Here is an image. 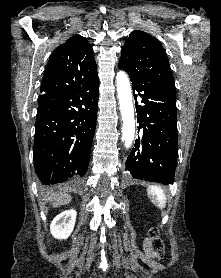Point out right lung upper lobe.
Masks as SVG:
<instances>
[{"label": "right lung upper lobe", "mask_w": 221, "mask_h": 278, "mask_svg": "<svg viewBox=\"0 0 221 278\" xmlns=\"http://www.w3.org/2000/svg\"><path fill=\"white\" fill-rule=\"evenodd\" d=\"M93 49L86 38L74 35L51 55L41 84V95L81 86L97 78Z\"/></svg>", "instance_id": "cb5924a9"}]
</instances>
